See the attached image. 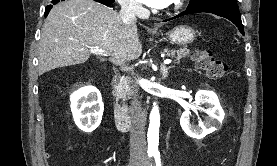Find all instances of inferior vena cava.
I'll return each mask as SVG.
<instances>
[{"instance_id": "obj_1", "label": "inferior vena cava", "mask_w": 277, "mask_h": 166, "mask_svg": "<svg viewBox=\"0 0 277 166\" xmlns=\"http://www.w3.org/2000/svg\"><path fill=\"white\" fill-rule=\"evenodd\" d=\"M120 16L124 24L136 23V8L128 0L121 2ZM133 110L131 112L132 126L130 131V155L132 158L146 157V139L143 121L140 117V102L138 100V89L132 87Z\"/></svg>"}]
</instances>
